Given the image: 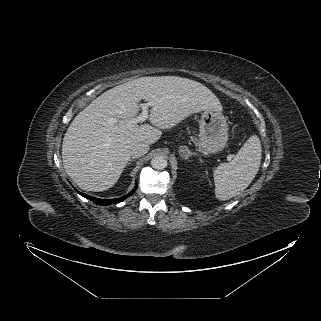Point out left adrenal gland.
<instances>
[{
  "label": "left adrenal gland",
  "instance_id": "left-adrenal-gland-1",
  "mask_svg": "<svg viewBox=\"0 0 321 321\" xmlns=\"http://www.w3.org/2000/svg\"><path fill=\"white\" fill-rule=\"evenodd\" d=\"M179 153L183 159H188L190 156L195 155V153L191 152L187 146H180Z\"/></svg>",
  "mask_w": 321,
  "mask_h": 321
}]
</instances>
